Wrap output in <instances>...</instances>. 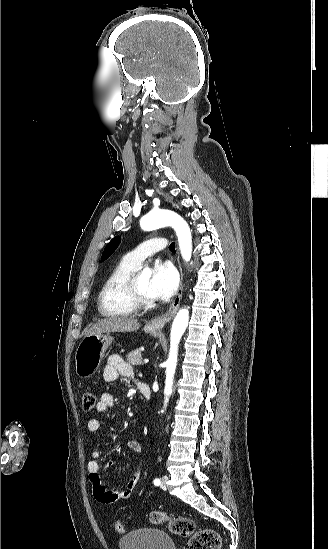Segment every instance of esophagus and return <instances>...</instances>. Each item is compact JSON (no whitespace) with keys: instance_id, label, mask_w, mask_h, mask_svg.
I'll return each instance as SVG.
<instances>
[{"instance_id":"obj_1","label":"esophagus","mask_w":328,"mask_h":549,"mask_svg":"<svg viewBox=\"0 0 328 549\" xmlns=\"http://www.w3.org/2000/svg\"><path fill=\"white\" fill-rule=\"evenodd\" d=\"M178 265H179V272H180V285H179V289H178V292L175 296V299L173 300L172 304L170 305L169 309L167 310V312L163 315H160L158 317H155L154 319H152L150 322H149V325L154 329V330H162L163 327L165 326V324H167L171 319H173V317L175 316L177 310H178V307H179V304H180V301H181V298H182V293H183V272H182V268H181V264H180V261H179V257H178Z\"/></svg>"}]
</instances>
